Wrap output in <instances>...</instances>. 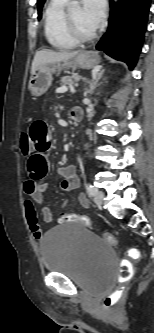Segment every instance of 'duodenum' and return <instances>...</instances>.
Here are the masks:
<instances>
[{"mask_svg":"<svg viewBox=\"0 0 154 333\" xmlns=\"http://www.w3.org/2000/svg\"><path fill=\"white\" fill-rule=\"evenodd\" d=\"M70 116L74 123H79L83 119L84 111L79 107H75L71 110Z\"/></svg>","mask_w":154,"mask_h":333,"instance_id":"1","label":"duodenum"}]
</instances>
